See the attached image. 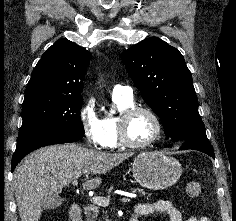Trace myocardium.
<instances>
[{
	"mask_svg": "<svg viewBox=\"0 0 236 221\" xmlns=\"http://www.w3.org/2000/svg\"><path fill=\"white\" fill-rule=\"evenodd\" d=\"M144 112L152 117L156 125L154 136L145 143H135L128 136V124L130 119L137 113ZM118 138L122 146L132 149H145L154 145L162 136L163 124L159 115L150 107L132 105L122 110L118 116Z\"/></svg>",
	"mask_w": 236,
	"mask_h": 221,
	"instance_id": "f54148a6",
	"label": "myocardium"
}]
</instances>
